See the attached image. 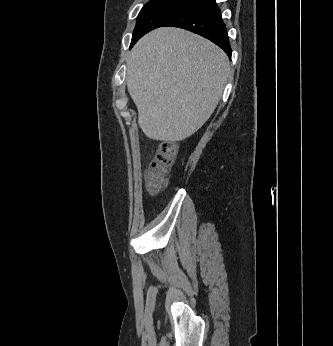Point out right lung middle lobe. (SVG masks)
<instances>
[{
    "label": "right lung middle lobe",
    "mask_w": 333,
    "mask_h": 346,
    "mask_svg": "<svg viewBox=\"0 0 333 346\" xmlns=\"http://www.w3.org/2000/svg\"><path fill=\"white\" fill-rule=\"evenodd\" d=\"M187 0H150L141 9L133 32L131 47L149 31L163 26Z\"/></svg>",
    "instance_id": "1"
}]
</instances>
